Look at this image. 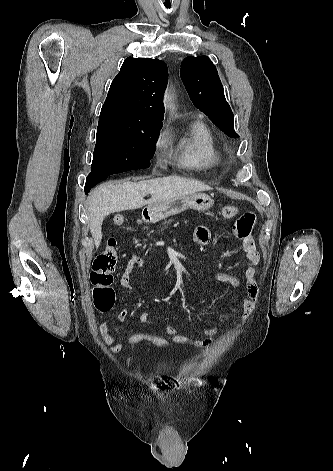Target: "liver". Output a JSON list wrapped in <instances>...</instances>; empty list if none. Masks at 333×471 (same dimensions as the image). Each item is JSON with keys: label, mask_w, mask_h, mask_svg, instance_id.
<instances>
[{"label": "liver", "mask_w": 333, "mask_h": 471, "mask_svg": "<svg viewBox=\"0 0 333 471\" xmlns=\"http://www.w3.org/2000/svg\"><path fill=\"white\" fill-rule=\"evenodd\" d=\"M211 187L194 180L178 176H168L139 182H124L114 185L103 183L93 190L89 197V229L96 248L102 240V223L111 213L142 208L166 202L173 198L190 195L199 191H208ZM151 194L149 200L144 197Z\"/></svg>", "instance_id": "6515ba94"}]
</instances>
